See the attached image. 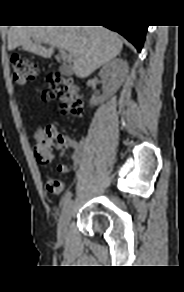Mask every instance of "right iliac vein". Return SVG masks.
<instances>
[{
  "instance_id": "right-iliac-vein-1",
  "label": "right iliac vein",
  "mask_w": 184,
  "mask_h": 292,
  "mask_svg": "<svg viewBox=\"0 0 184 292\" xmlns=\"http://www.w3.org/2000/svg\"><path fill=\"white\" fill-rule=\"evenodd\" d=\"M72 213H73V203L69 202L65 206L58 222L57 232H58L59 239H63L65 237Z\"/></svg>"
}]
</instances>
